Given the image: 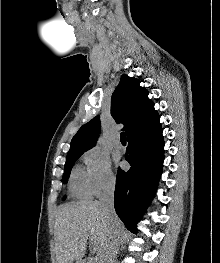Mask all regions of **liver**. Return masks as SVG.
<instances>
[{"instance_id": "6515ba94", "label": "liver", "mask_w": 220, "mask_h": 263, "mask_svg": "<svg viewBox=\"0 0 220 263\" xmlns=\"http://www.w3.org/2000/svg\"><path fill=\"white\" fill-rule=\"evenodd\" d=\"M115 226L124 227L117 217ZM111 223L99 201H79L61 205L54 225L56 263H82L87 249L88 237L97 248L102 261L107 249Z\"/></svg>"}]
</instances>
